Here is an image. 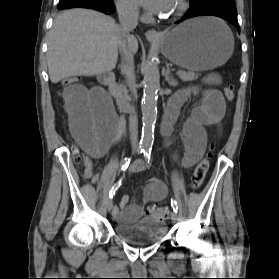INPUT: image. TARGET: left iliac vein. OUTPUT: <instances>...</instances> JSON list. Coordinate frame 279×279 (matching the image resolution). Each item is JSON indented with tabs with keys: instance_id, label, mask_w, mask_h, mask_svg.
<instances>
[{
	"instance_id": "1",
	"label": "left iliac vein",
	"mask_w": 279,
	"mask_h": 279,
	"mask_svg": "<svg viewBox=\"0 0 279 279\" xmlns=\"http://www.w3.org/2000/svg\"><path fill=\"white\" fill-rule=\"evenodd\" d=\"M177 218H178L177 213H176L175 211H172V213H171V220H172L173 222H176V221H177Z\"/></svg>"
}]
</instances>
